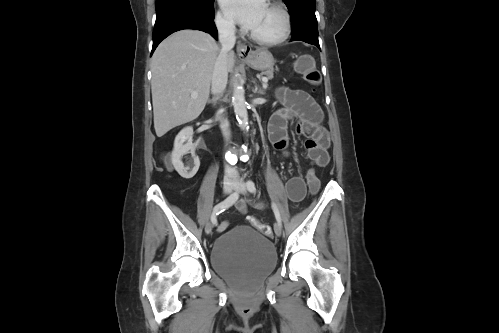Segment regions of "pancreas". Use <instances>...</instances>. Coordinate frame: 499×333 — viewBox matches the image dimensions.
Here are the masks:
<instances>
[{
	"instance_id": "1",
	"label": "pancreas",
	"mask_w": 499,
	"mask_h": 333,
	"mask_svg": "<svg viewBox=\"0 0 499 333\" xmlns=\"http://www.w3.org/2000/svg\"><path fill=\"white\" fill-rule=\"evenodd\" d=\"M273 72H274L273 69L267 70V71L263 72V75H265L267 79H272L273 78Z\"/></svg>"
}]
</instances>
